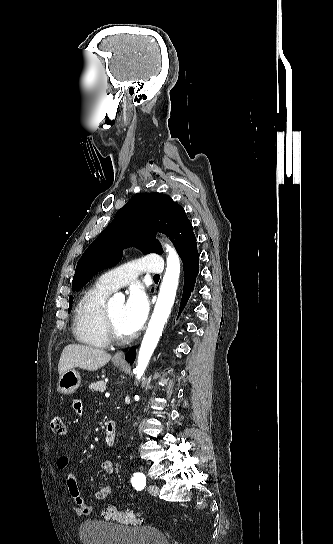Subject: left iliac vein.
<instances>
[{
  "label": "left iliac vein",
  "mask_w": 333,
  "mask_h": 544,
  "mask_svg": "<svg viewBox=\"0 0 333 544\" xmlns=\"http://www.w3.org/2000/svg\"><path fill=\"white\" fill-rule=\"evenodd\" d=\"M148 492L151 495L157 496L159 494V487L157 485H149Z\"/></svg>",
  "instance_id": "obj_1"
}]
</instances>
